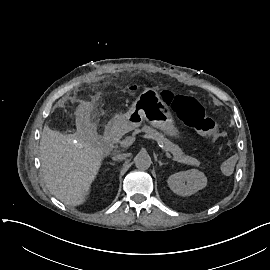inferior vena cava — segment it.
<instances>
[{
    "mask_svg": "<svg viewBox=\"0 0 270 270\" xmlns=\"http://www.w3.org/2000/svg\"><path fill=\"white\" fill-rule=\"evenodd\" d=\"M129 156H130V154H128V153L115 154V155L112 157V159H113L114 161H121V160H123V159H125V158H127V157H129Z\"/></svg>",
    "mask_w": 270,
    "mask_h": 270,
    "instance_id": "obj_1",
    "label": "inferior vena cava"
}]
</instances>
